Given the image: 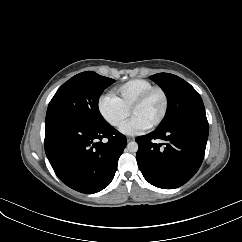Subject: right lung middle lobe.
Instances as JSON below:
<instances>
[{"mask_svg":"<svg viewBox=\"0 0 242 242\" xmlns=\"http://www.w3.org/2000/svg\"><path fill=\"white\" fill-rule=\"evenodd\" d=\"M114 82L92 71L75 75L53 96L45 124L56 121H79L98 126L106 124L99 112L98 101L103 90Z\"/></svg>","mask_w":242,"mask_h":242,"instance_id":"right-lung-middle-lobe-1","label":"right lung middle lobe"}]
</instances>
